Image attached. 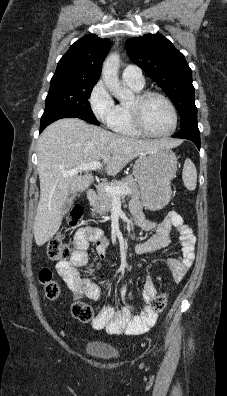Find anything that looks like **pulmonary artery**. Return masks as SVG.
<instances>
[{
  "label": "pulmonary artery",
  "mask_w": 227,
  "mask_h": 396,
  "mask_svg": "<svg viewBox=\"0 0 227 396\" xmlns=\"http://www.w3.org/2000/svg\"><path fill=\"white\" fill-rule=\"evenodd\" d=\"M122 78L127 83L144 85L145 80L142 70L136 65H127L122 71Z\"/></svg>",
  "instance_id": "1"
}]
</instances>
